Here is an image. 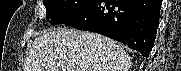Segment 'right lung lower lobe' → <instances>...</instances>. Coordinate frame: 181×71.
I'll return each mask as SVG.
<instances>
[{
    "instance_id": "obj_1",
    "label": "right lung lower lobe",
    "mask_w": 181,
    "mask_h": 71,
    "mask_svg": "<svg viewBox=\"0 0 181 71\" xmlns=\"http://www.w3.org/2000/svg\"><path fill=\"white\" fill-rule=\"evenodd\" d=\"M162 0H95L64 24L123 42L148 57L154 45Z\"/></svg>"
}]
</instances>
